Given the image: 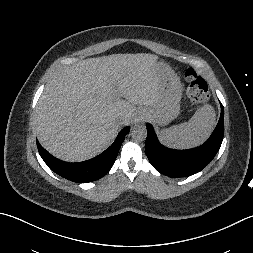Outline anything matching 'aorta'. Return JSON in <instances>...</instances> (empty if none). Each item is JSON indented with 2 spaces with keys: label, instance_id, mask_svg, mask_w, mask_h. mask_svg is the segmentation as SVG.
<instances>
[{
  "label": "aorta",
  "instance_id": "762f6f07",
  "mask_svg": "<svg viewBox=\"0 0 253 253\" xmlns=\"http://www.w3.org/2000/svg\"><path fill=\"white\" fill-rule=\"evenodd\" d=\"M131 135L135 141H138V142L144 141L147 137L146 126L142 124L135 125L132 128Z\"/></svg>",
  "mask_w": 253,
  "mask_h": 253
}]
</instances>
